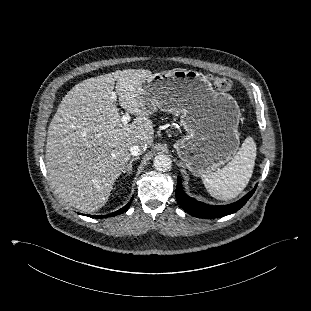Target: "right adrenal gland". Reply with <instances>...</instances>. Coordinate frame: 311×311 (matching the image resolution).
I'll return each instance as SVG.
<instances>
[{"instance_id":"2a0ac1e0","label":"right adrenal gland","mask_w":311,"mask_h":311,"mask_svg":"<svg viewBox=\"0 0 311 311\" xmlns=\"http://www.w3.org/2000/svg\"><path fill=\"white\" fill-rule=\"evenodd\" d=\"M138 159H139L138 157L132 158L130 162L127 164V166L124 168L123 173L124 174L127 173V175H130L132 171V163Z\"/></svg>"}]
</instances>
